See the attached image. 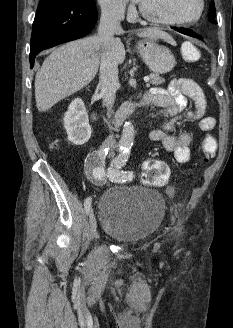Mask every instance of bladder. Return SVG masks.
Listing matches in <instances>:
<instances>
[{"mask_svg": "<svg viewBox=\"0 0 233 328\" xmlns=\"http://www.w3.org/2000/svg\"><path fill=\"white\" fill-rule=\"evenodd\" d=\"M164 212L163 198L157 192L138 186H115L100 198L97 216L104 234L131 243L153 233Z\"/></svg>", "mask_w": 233, "mask_h": 328, "instance_id": "obj_1", "label": "bladder"}]
</instances>
